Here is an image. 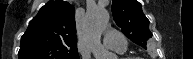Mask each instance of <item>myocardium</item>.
I'll return each instance as SVG.
<instances>
[{
  "mask_svg": "<svg viewBox=\"0 0 193 59\" xmlns=\"http://www.w3.org/2000/svg\"><path fill=\"white\" fill-rule=\"evenodd\" d=\"M121 59H142V58H138V57H122Z\"/></svg>",
  "mask_w": 193,
  "mask_h": 59,
  "instance_id": "myocardium-1",
  "label": "myocardium"
}]
</instances>
